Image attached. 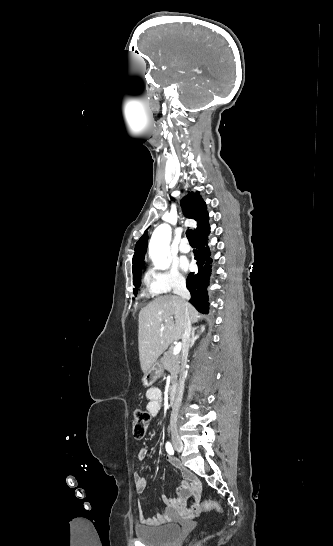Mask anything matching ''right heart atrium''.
<instances>
[{"instance_id":"d8ad5b80","label":"right heart atrium","mask_w":333,"mask_h":546,"mask_svg":"<svg viewBox=\"0 0 333 546\" xmlns=\"http://www.w3.org/2000/svg\"><path fill=\"white\" fill-rule=\"evenodd\" d=\"M186 280L175 265L164 270L151 269L148 274L149 291L154 295L179 291L185 287Z\"/></svg>"}]
</instances>
